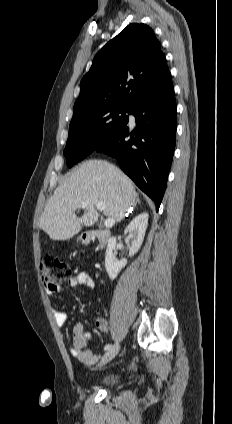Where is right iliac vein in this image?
<instances>
[{
	"instance_id": "1",
	"label": "right iliac vein",
	"mask_w": 232,
	"mask_h": 424,
	"mask_svg": "<svg viewBox=\"0 0 232 424\" xmlns=\"http://www.w3.org/2000/svg\"><path fill=\"white\" fill-rule=\"evenodd\" d=\"M119 350H120V344L117 342L104 354L100 362V366H103L109 361H111L118 354Z\"/></svg>"
}]
</instances>
